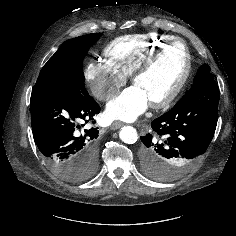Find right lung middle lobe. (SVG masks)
<instances>
[{
	"instance_id": "obj_1",
	"label": "right lung middle lobe",
	"mask_w": 236,
	"mask_h": 236,
	"mask_svg": "<svg viewBox=\"0 0 236 236\" xmlns=\"http://www.w3.org/2000/svg\"><path fill=\"white\" fill-rule=\"evenodd\" d=\"M101 37V33L87 34L64 42L40 71L35 86L77 87L87 92L84 84L82 61L89 48ZM96 159L83 164L68 165L70 171L61 177L67 181L84 180L92 175ZM73 167V168H71Z\"/></svg>"
}]
</instances>
